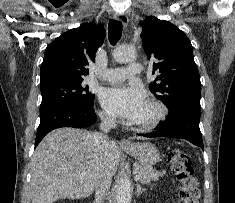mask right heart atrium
Returning a JSON list of instances; mask_svg holds the SVG:
<instances>
[{"instance_id": "right-heart-atrium-1", "label": "right heart atrium", "mask_w": 235, "mask_h": 203, "mask_svg": "<svg viewBox=\"0 0 235 203\" xmlns=\"http://www.w3.org/2000/svg\"><path fill=\"white\" fill-rule=\"evenodd\" d=\"M100 117L107 124H112L114 122V118L106 112H100Z\"/></svg>"}]
</instances>
